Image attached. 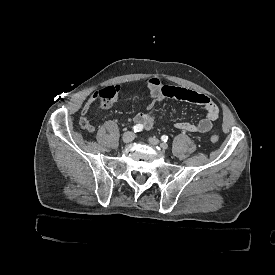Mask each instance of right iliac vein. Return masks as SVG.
Returning a JSON list of instances; mask_svg holds the SVG:
<instances>
[{"label":"right iliac vein","instance_id":"right-iliac-vein-1","mask_svg":"<svg viewBox=\"0 0 275 275\" xmlns=\"http://www.w3.org/2000/svg\"><path fill=\"white\" fill-rule=\"evenodd\" d=\"M135 134L132 131H127L123 134L122 140L124 143H130L134 140Z\"/></svg>","mask_w":275,"mask_h":275}]
</instances>
